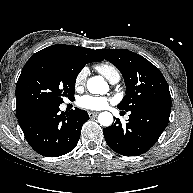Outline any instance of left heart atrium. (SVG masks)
<instances>
[{
	"label": "left heart atrium",
	"instance_id": "1",
	"mask_svg": "<svg viewBox=\"0 0 193 193\" xmlns=\"http://www.w3.org/2000/svg\"><path fill=\"white\" fill-rule=\"evenodd\" d=\"M79 107L87 110H102L109 104V99L104 96L84 95L77 101Z\"/></svg>",
	"mask_w": 193,
	"mask_h": 193
}]
</instances>
